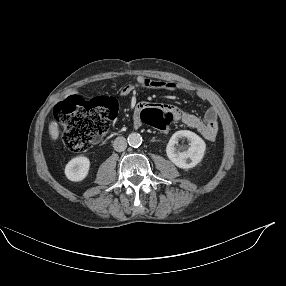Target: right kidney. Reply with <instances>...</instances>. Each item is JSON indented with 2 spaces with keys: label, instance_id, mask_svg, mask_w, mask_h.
Returning <instances> with one entry per match:
<instances>
[{
  "label": "right kidney",
  "instance_id": "right-kidney-1",
  "mask_svg": "<svg viewBox=\"0 0 286 286\" xmlns=\"http://www.w3.org/2000/svg\"><path fill=\"white\" fill-rule=\"evenodd\" d=\"M90 160L87 157H75L65 167V175L71 181H82L88 175Z\"/></svg>",
  "mask_w": 286,
  "mask_h": 286
}]
</instances>
